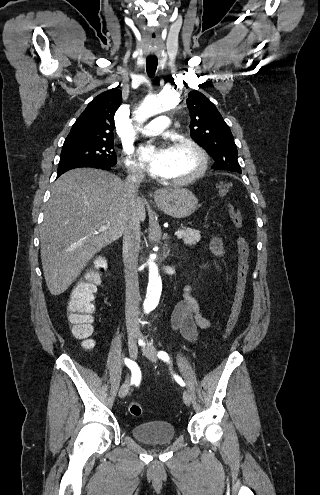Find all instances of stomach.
Here are the masks:
<instances>
[{"mask_svg":"<svg viewBox=\"0 0 320 495\" xmlns=\"http://www.w3.org/2000/svg\"><path fill=\"white\" fill-rule=\"evenodd\" d=\"M156 205L171 217L185 218L197 210L198 199L188 189L175 188L164 190L156 199Z\"/></svg>","mask_w":320,"mask_h":495,"instance_id":"0dacf381","label":"stomach"}]
</instances>
